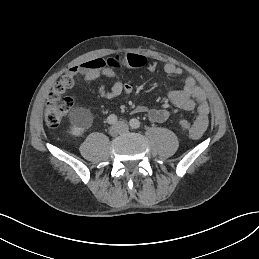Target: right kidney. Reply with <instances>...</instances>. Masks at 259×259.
Listing matches in <instances>:
<instances>
[{"label":"right kidney","instance_id":"obj_1","mask_svg":"<svg viewBox=\"0 0 259 259\" xmlns=\"http://www.w3.org/2000/svg\"><path fill=\"white\" fill-rule=\"evenodd\" d=\"M71 128L69 135L81 137L93 124V116L89 110L82 107H74L69 115Z\"/></svg>","mask_w":259,"mask_h":259}]
</instances>
